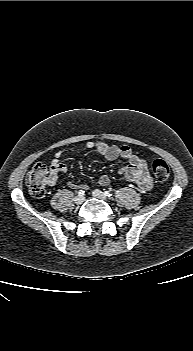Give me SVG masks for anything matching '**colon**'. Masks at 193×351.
Listing matches in <instances>:
<instances>
[{
	"mask_svg": "<svg viewBox=\"0 0 193 351\" xmlns=\"http://www.w3.org/2000/svg\"><path fill=\"white\" fill-rule=\"evenodd\" d=\"M151 169L158 181H166L170 176L169 166L162 159L154 160ZM48 179V166L44 163L35 164L26 178L27 187L33 197L42 198L45 196Z\"/></svg>",
	"mask_w": 193,
	"mask_h": 351,
	"instance_id": "1",
	"label": "colon"
}]
</instances>
